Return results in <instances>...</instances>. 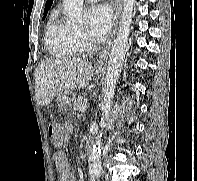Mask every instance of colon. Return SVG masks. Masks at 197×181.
Returning a JSON list of instances; mask_svg holds the SVG:
<instances>
[{
	"label": "colon",
	"mask_w": 197,
	"mask_h": 181,
	"mask_svg": "<svg viewBox=\"0 0 197 181\" xmlns=\"http://www.w3.org/2000/svg\"><path fill=\"white\" fill-rule=\"evenodd\" d=\"M48 134L54 145L58 146L62 143L63 133L59 125L50 124L48 126Z\"/></svg>",
	"instance_id": "obj_1"
}]
</instances>
